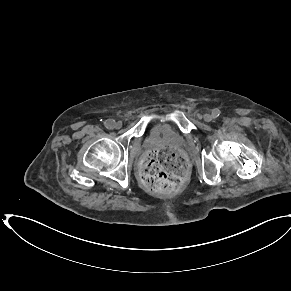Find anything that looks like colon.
Instances as JSON below:
<instances>
[{
  "label": "colon",
  "instance_id": "5ec220e1",
  "mask_svg": "<svg viewBox=\"0 0 291 291\" xmlns=\"http://www.w3.org/2000/svg\"><path fill=\"white\" fill-rule=\"evenodd\" d=\"M185 168V158L176 150L151 151L142 161L141 180L149 190L168 194L179 187Z\"/></svg>",
  "mask_w": 291,
  "mask_h": 291
}]
</instances>
